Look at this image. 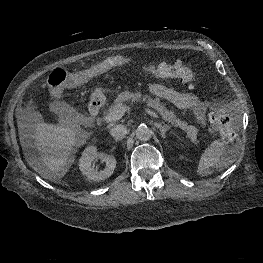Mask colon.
I'll use <instances>...</instances> for the list:
<instances>
[{
    "label": "colon",
    "mask_w": 263,
    "mask_h": 263,
    "mask_svg": "<svg viewBox=\"0 0 263 263\" xmlns=\"http://www.w3.org/2000/svg\"><path fill=\"white\" fill-rule=\"evenodd\" d=\"M135 62L125 56L116 55L107 57L85 69L76 72H67L56 69L49 77L51 93L58 97L66 88L75 87L113 68L134 65ZM141 70L148 75L159 78H179L184 82L192 84L194 73L180 62L159 63L141 66ZM210 119L215 131L222 140L230 143L235 138V130L229 115L221 108H214Z\"/></svg>",
    "instance_id": "colon-1"
}]
</instances>
